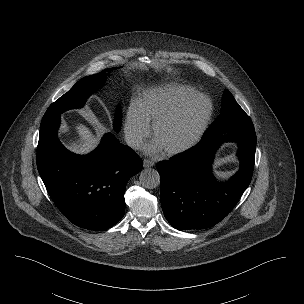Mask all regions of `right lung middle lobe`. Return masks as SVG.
Segmentation results:
<instances>
[{"mask_svg":"<svg viewBox=\"0 0 304 304\" xmlns=\"http://www.w3.org/2000/svg\"><path fill=\"white\" fill-rule=\"evenodd\" d=\"M114 69L116 68H110L106 71L110 72ZM104 72L105 70L100 72L99 74L87 76L78 81L67 93L60 97L56 102L51 104L43 118L61 114L65 110L71 108L82 107L88 96L104 84L106 79V73ZM121 116V109L120 107H118L114 122V128L116 131H119L121 127Z\"/></svg>","mask_w":304,"mask_h":304,"instance_id":"1","label":"right lung middle lobe"}]
</instances>
